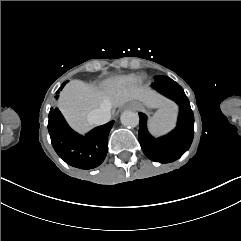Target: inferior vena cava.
<instances>
[{
	"instance_id": "602c4592",
	"label": "inferior vena cava",
	"mask_w": 241,
	"mask_h": 241,
	"mask_svg": "<svg viewBox=\"0 0 241 241\" xmlns=\"http://www.w3.org/2000/svg\"><path fill=\"white\" fill-rule=\"evenodd\" d=\"M111 103H103L99 108L89 112L87 120L92 125H102L111 119Z\"/></svg>"
}]
</instances>
